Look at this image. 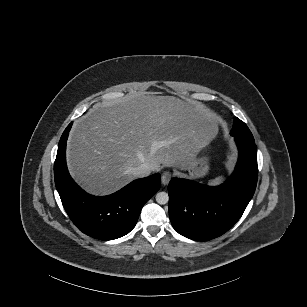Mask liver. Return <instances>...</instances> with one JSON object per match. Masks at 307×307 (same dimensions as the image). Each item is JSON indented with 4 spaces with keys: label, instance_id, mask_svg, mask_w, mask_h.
I'll return each mask as SVG.
<instances>
[{
    "label": "liver",
    "instance_id": "liver-1",
    "mask_svg": "<svg viewBox=\"0 0 307 307\" xmlns=\"http://www.w3.org/2000/svg\"><path fill=\"white\" fill-rule=\"evenodd\" d=\"M205 104L173 95L128 94L97 103L72 128L67 152L70 176L86 193L111 195L136 179L130 169L151 172L188 167L201 143Z\"/></svg>",
    "mask_w": 307,
    "mask_h": 307
}]
</instances>
